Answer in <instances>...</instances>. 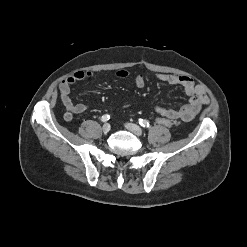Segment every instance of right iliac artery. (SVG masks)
<instances>
[{
  "mask_svg": "<svg viewBox=\"0 0 247 247\" xmlns=\"http://www.w3.org/2000/svg\"><path fill=\"white\" fill-rule=\"evenodd\" d=\"M110 119V115H108V114H104L102 117H101V121L102 122H106V121H108Z\"/></svg>",
  "mask_w": 247,
  "mask_h": 247,
  "instance_id": "1",
  "label": "right iliac artery"
}]
</instances>
